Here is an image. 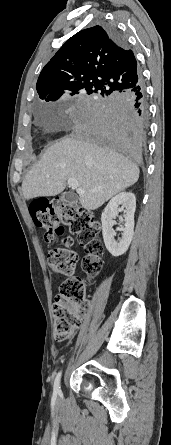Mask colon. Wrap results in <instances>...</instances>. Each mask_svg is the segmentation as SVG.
<instances>
[{"instance_id": "1", "label": "colon", "mask_w": 171, "mask_h": 445, "mask_svg": "<svg viewBox=\"0 0 171 445\" xmlns=\"http://www.w3.org/2000/svg\"><path fill=\"white\" fill-rule=\"evenodd\" d=\"M29 211L34 224L45 230L46 242H53L68 229L87 252L83 260L86 275L92 278L99 272V255L103 251L97 236L100 224L90 210L82 209L76 203L54 199L35 200L30 204ZM64 244L65 247L53 248L47 253V263L52 272L66 277L53 304L54 335L58 340L69 339L79 327V313L85 303V281L73 275L77 256L67 248L72 244V237H67Z\"/></svg>"}]
</instances>
